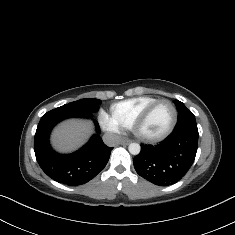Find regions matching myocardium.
<instances>
[{
  "mask_svg": "<svg viewBox=\"0 0 235 235\" xmlns=\"http://www.w3.org/2000/svg\"><path fill=\"white\" fill-rule=\"evenodd\" d=\"M162 102H168L172 105L173 110H174V115L172 118V121L170 123V126L168 127V129L160 135H156V136H143L140 133V129L147 123V121L149 120V118L151 117L153 111L155 110V108ZM177 120H178V109L175 105V103L173 101H171L170 99L167 98H161V99H157L156 101H154L132 124L131 130L132 133L134 135V137L142 143H148V144H152V143H157L160 142L166 138H168L174 131L176 124H177Z\"/></svg>",
  "mask_w": 235,
  "mask_h": 235,
  "instance_id": "1",
  "label": "myocardium"
}]
</instances>
